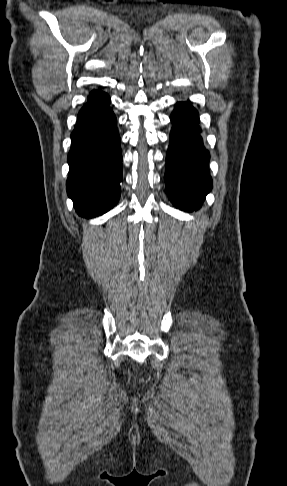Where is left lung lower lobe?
I'll list each match as a JSON object with an SVG mask.
<instances>
[{"label":"left lung lower lobe","instance_id":"obj_1","mask_svg":"<svg viewBox=\"0 0 287 486\" xmlns=\"http://www.w3.org/2000/svg\"><path fill=\"white\" fill-rule=\"evenodd\" d=\"M170 119L173 126L164 176L167 193L177 208L192 211L212 188L210 156L200 135L198 112L190 101L178 102Z\"/></svg>","mask_w":287,"mask_h":486}]
</instances>
